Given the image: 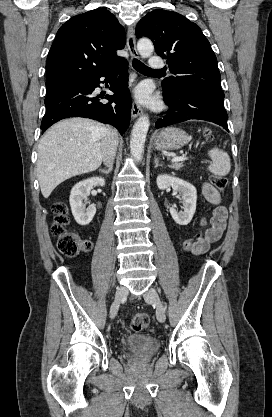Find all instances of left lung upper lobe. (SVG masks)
Segmentation results:
<instances>
[{"label":"left lung upper lobe","instance_id":"obj_1","mask_svg":"<svg viewBox=\"0 0 272 417\" xmlns=\"http://www.w3.org/2000/svg\"><path fill=\"white\" fill-rule=\"evenodd\" d=\"M136 36L149 37L156 53L167 58L175 76L162 81L166 92L189 90L224 103L217 59L198 25L176 12L154 10L138 22Z\"/></svg>","mask_w":272,"mask_h":417}]
</instances>
